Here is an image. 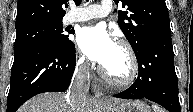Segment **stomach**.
<instances>
[{"label": "stomach", "instance_id": "stomach-1", "mask_svg": "<svg viewBox=\"0 0 193 112\" xmlns=\"http://www.w3.org/2000/svg\"><path fill=\"white\" fill-rule=\"evenodd\" d=\"M107 112H150L148 106L141 101L114 100L105 105Z\"/></svg>", "mask_w": 193, "mask_h": 112}]
</instances>
